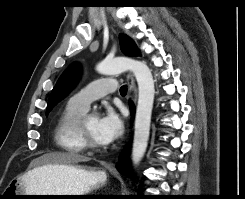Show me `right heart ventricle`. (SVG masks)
Returning <instances> with one entry per match:
<instances>
[{
  "label": "right heart ventricle",
  "mask_w": 245,
  "mask_h": 199,
  "mask_svg": "<svg viewBox=\"0 0 245 199\" xmlns=\"http://www.w3.org/2000/svg\"><path fill=\"white\" fill-rule=\"evenodd\" d=\"M86 111L70 104L65 106L55 127L57 145L72 155L83 153L86 149L78 136V123Z\"/></svg>",
  "instance_id": "obj_1"
}]
</instances>
